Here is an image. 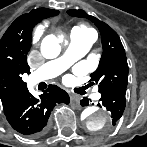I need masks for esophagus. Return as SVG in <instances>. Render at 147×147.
Instances as JSON below:
<instances>
[{"mask_svg":"<svg viewBox=\"0 0 147 147\" xmlns=\"http://www.w3.org/2000/svg\"><path fill=\"white\" fill-rule=\"evenodd\" d=\"M70 100L73 104L78 105L80 102V97L77 95H70Z\"/></svg>","mask_w":147,"mask_h":147,"instance_id":"obj_1","label":"esophagus"}]
</instances>
